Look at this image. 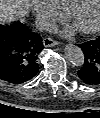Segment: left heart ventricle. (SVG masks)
<instances>
[{
	"instance_id": "1",
	"label": "left heart ventricle",
	"mask_w": 100,
	"mask_h": 118,
	"mask_svg": "<svg viewBox=\"0 0 100 118\" xmlns=\"http://www.w3.org/2000/svg\"><path fill=\"white\" fill-rule=\"evenodd\" d=\"M100 2L99 0H89L72 18V24L78 29L92 27L97 19Z\"/></svg>"
}]
</instances>
